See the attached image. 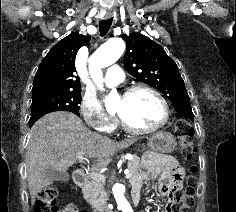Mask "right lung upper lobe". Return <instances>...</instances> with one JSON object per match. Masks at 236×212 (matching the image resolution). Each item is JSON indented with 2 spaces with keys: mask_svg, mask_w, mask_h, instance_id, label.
<instances>
[{
  "mask_svg": "<svg viewBox=\"0 0 236 212\" xmlns=\"http://www.w3.org/2000/svg\"><path fill=\"white\" fill-rule=\"evenodd\" d=\"M88 42L87 36L72 32L52 47L38 67L32 95L47 91L81 90L75 58L79 48Z\"/></svg>",
  "mask_w": 236,
  "mask_h": 212,
  "instance_id": "right-lung-upper-lobe-1",
  "label": "right lung upper lobe"
}]
</instances>
